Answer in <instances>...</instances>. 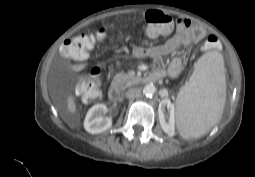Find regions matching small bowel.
I'll return each mask as SVG.
<instances>
[{"instance_id":"c3829d8e","label":"small bowel","mask_w":255,"mask_h":177,"mask_svg":"<svg viewBox=\"0 0 255 177\" xmlns=\"http://www.w3.org/2000/svg\"><path fill=\"white\" fill-rule=\"evenodd\" d=\"M170 33L171 30L164 34L167 35ZM204 36L205 32L202 28L192 25L191 22L185 18H181L178 20L172 35L164 43L149 48L135 47L132 49V56L136 58H149L158 62L163 56L174 53L181 46L199 41L203 39ZM212 44L215 45L216 40L213 41ZM182 70V59L175 56L170 61L166 72L162 69H159L158 72L162 73V75L167 73L171 79H176L179 77Z\"/></svg>"}]
</instances>
